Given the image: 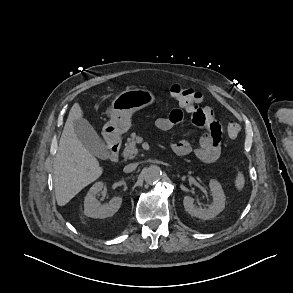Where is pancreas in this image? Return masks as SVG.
I'll use <instances>...</instances> for the list:
<instances>
[{"label":"pancreas","mask_w":293,"mask_h":293,"mask_svg":"<svg viewBox=\"0 0 293 293\" xmlns=\"http://www.w3.org/2000/svg\"><path fill=\"white\" fill-rule=\"evenodd\" d=\"M137 137L138 136L136 135V133H132L130 138L127 139V143L123 151V157L125 159H132L137 155L138 153V149L136 147Z\"/></svg>","instance_id":"pancreas-1"}]
</instances>
